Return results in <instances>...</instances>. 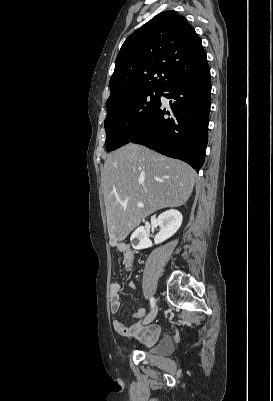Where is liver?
Listing matches in <instances>:
<instances>
[{"label": "liver", "instance_id": "liver-1", "mask_svg": "<svg viewBox=\"0 0 273 401\" xmlns=\"http://www.w3.org/2000/svg\"><path fill=\"white\" fill-rule=\"evenodd\" d=\"M195 176L194 168L186 162L141 144L129 142L108 154L102 186L110 243L123 241L155 211L184 205ZM137 203L144 207H137Z\"/></svg>", "mask_w": 273, "mask_h": 401}]
</instances>
